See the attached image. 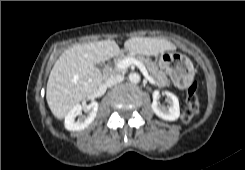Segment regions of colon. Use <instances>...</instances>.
<instances>
[{
	"label": "colon",
	"mask_w": 245,
	"mask_h": 170,
	"mask_svg": "<svg viewBox=\"0 0 245 170\" xmlns=\"http://www.w3.org/2000/svg\"><path fill=\"white\" fill-rule=\"evenodd\" d=\"M192 70V64L186 58H179L178 63L174 67V79L179 86H184L186 91V109L181 117L185 123L189 122L195 115L199 113V99L195 92L194 82L188 79Z\"/></svg>",
	"instance_id": "5ec220e1"
}]
</instances>
